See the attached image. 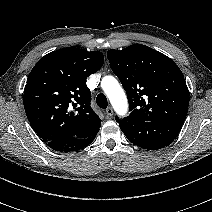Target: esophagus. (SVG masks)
Wrapping results in <instances>:
<instances>
[{"instance_id": "1", "label": "esophagus", "mask_w": 212, "mask_h": 212, "mask_svg": "<svg viewBox=\"0 0 212 212\" xmlns=\"http://www.w3.org/2000/svg\"><path fill=\"white\" fill-rule=\"evenodd\" d=\"M106 114H107L108 117H111L113 115V109H112V107H108L106 109Z\"/></svg>"}]
</instances>
